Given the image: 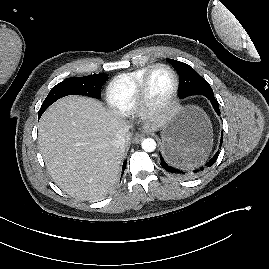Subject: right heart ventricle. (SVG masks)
I'll list each match as a JSON object with an SVG mask.
<instances>
[{
	"label": "right heart ventricle",
	"mask_w": 269,
	"mask_h": 269,
	"mask_svg": "<svg viewBox=\"0 0 269 269\" xmlns=\"http://www.w3.org/2000/svg\"><path fill=\"white\" fill-rule=\"evenodd\" d=\"M149 66L115 76L106 87L109 106L121 115H129L136 108V90Z\"/></svg>",
	"instance_id": "e07e8e85"
}]
</instances>
